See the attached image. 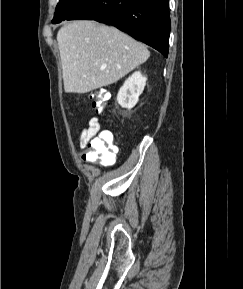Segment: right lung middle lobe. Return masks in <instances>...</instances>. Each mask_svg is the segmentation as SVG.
<instances>
[{
    "label": "right lung middle lobe",
    "instance_id": "right-lung-middle-lobe-1",
    "mask_svg": "<svg viewBox=\"0 0 243 289\" xmlns=\"http://www.w3.org/2000/svg\"><path fill=\"white\" fill-rule=\"evenodd\" d=\"M82 1L83 0H59L52 23L56 24L65 20Z\"/></svg>",
    "mask_w": 243,
    "mask_h": 289
}]
</instances>
